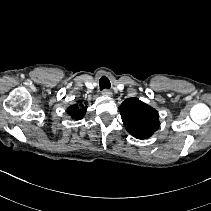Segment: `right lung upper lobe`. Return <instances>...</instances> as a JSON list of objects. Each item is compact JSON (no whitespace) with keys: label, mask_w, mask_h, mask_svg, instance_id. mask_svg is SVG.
<instances>
[{"label":"right lung upper lobe","mask_w":211,"mask_h":211,"mask_svg":"<svg viewBox=\"0 0 211 211\" xmlns=\"http://www.w3.org/2000/svg\"><path fill=\"white\" fill-rule=\"evenodd\" d=\"M81 107H83L82 104H80V105H77V104L72 105V106H70L68 108V112L67 113L73 119H81L86 113V108L85 107L81 108Z\"/></svg>","instance_id":"1"}]
</instances>
